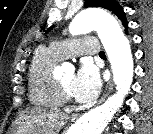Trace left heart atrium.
<instances>
[{
    "label": "left heart atrium",
    "instance_id": "1",
    "mask_svg": "<svg viewBox=\"0 0 153 134\" xmlns=\"http://www.w3.org/2000/svg\"><path fill=\"white\" fill-rule=\"evenodd\" d=\"M101 81L96 69L84 64L75 74L71 94L80 102H90L98 95Z\"/></svg>",
    "mask_w": 153,
    "mask_h": 134
}]
</instances>
